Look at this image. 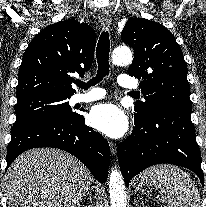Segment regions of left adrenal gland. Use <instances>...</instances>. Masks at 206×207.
<instances>
[{
	"label": "left adrenal gland",
	"mask_w": 206,
	"mask_h": 207,
	"mask_svg": "<svg viewBox=\"0 0 206 207\" xmlns=\"http://www.w3.org/2000/svg\"><path fill=\"white\" fill-rule=\"evenodd\" d=\"M134 204H135V206L138 205V198H135V199H134Z\"/></svg>",
	"instance_id": "a2214340"
}]
</instances>
